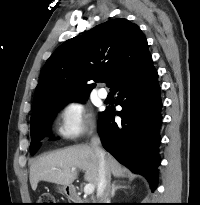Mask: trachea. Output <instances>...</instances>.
Listing matches in <instances>:
<instances>
[{
    "mask_svg": "<svg viewBox=\"0 0 200 205\" xmlns=\"http://www.w3.org/2000/svg\"><path fill=\"white\" fill-rule=\"evenodd\" d=\"M107 80H108V78H107V77H104V78L102 79V82H107Z\"/></svg>",
    "mask_w": 200,
    "mask_h": 205,
    "instance_id": "trachea-1",
    "label": "trachea"
}]
</instances>
